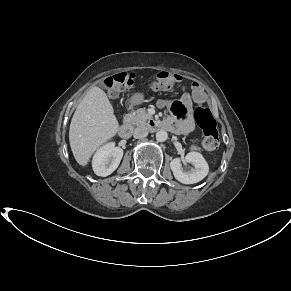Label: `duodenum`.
<instances>
[{
  "label": "duodenum",
  "instance_id": "duodenum-1",
  "mask_svg": "<svg viewBox=\"0 0 291 291\" xmlns=\"http://www.w3.org/2000/svg\"><path fill=\"white\" fill-rule=\"evenodd\" d=\"M149 127L154 130L165 128L164 122L150 121ZM132 133V125L128 119H125L119 127V134L122 137H129Z\"/></svg>",
  "mask_w": 291,
  "mask_h": 291
}]
</instances>
